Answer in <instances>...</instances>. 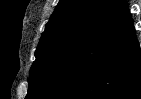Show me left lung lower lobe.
Here are the masks:
<instances>
[{"label": "left lung lower lobe", "mask_w": 141, "mask_h": 99, "mask_svg": "<svg viewBox=\"0 0 141 99\" xmlns=\"http://www.w3.org/2000/svg\"><path fill=\"white\" fill-rule=\"evenodd\" d=\"M37 99H141V50L124 0Z\"/></svg>", "instance_id": "left-lung-lower-lobe-1"}]
</instances>
